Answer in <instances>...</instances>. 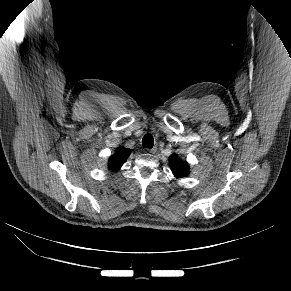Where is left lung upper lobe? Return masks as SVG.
Here are the masks:
<instances>
[{"instance_id": "5c2ea615", "label": "left lung upper lobe", "mask_w": 291, "mask_h": 291, "mask_svg": "<svg viewBox=\"0 0 291 291\" xmlns=\"http://www.w3.org/2000/svg\"><path fill=\"white\" fill-rule=\"evenodd\" d=\"M169 166L173 174L177 178L186 177L189 175V165L186 161H182L177 154H173L169 158Z\"/></svg>"}]
</instances>
